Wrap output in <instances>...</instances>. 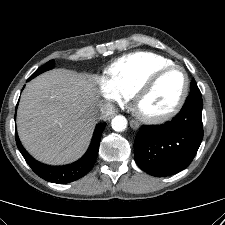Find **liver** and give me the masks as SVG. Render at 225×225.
<instances>
[{
    "instance_id": "1",
    "label": "liver",
    "mask_w": 225,
    "mask_h": 225,
    "mask_svg": "<svg viewBox=\"0 0 225 225\" xmlns=\"http://www.w3.org/2000/svg\"><path fill=\"white\" fill-rule=\"evenodd\" d=\"M99 105L87 76L67 69L47 71L30 81L21 95L17 111L20 140L41 162L71 163L89 146Z\"/></svg>"
}]
</instances>
